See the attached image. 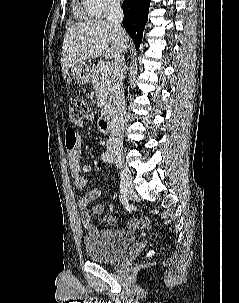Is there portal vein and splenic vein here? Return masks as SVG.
I'll use <instances>...</instances> for the list:
<instances>
[{"mask_svg":"<svg viewBox=\"0 0 239 303\" xmlns=\"http://www.w3.org/2000/svg\"><path fill=\"white\" fill-rule=\"evenodd\" d=\"M110 63L109 62H103L101 64V67H100V72L101 74H108L110 72Z\"/></svg>","mask_w":239,"mask_h":303,"instance_id":"portal-vein-and-splenic-vein-1","label":"portal vein and splenic vein"}]
</instances>
